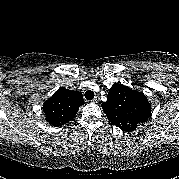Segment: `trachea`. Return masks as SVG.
I'll return each instance as SVG.
<instances>
[{"instance_id": "1", "label": "trachea", "mask_w": 179, "mask_h": 179, "mask_svg": "<svg viewBox=\"0 0 179 179\" xmlns=\"http://www.w3.org/2000/svg\"><path fill=\"white\" fill-rule=\"evenodd\" d=\"M84 96H85V98H86L87 100H93L95 94H94L93 91L88 90V91L85 92V95H84Z\"/></svg>"}]
</instances>
